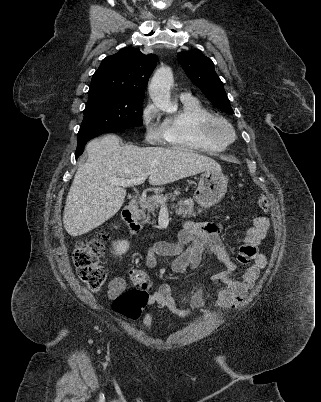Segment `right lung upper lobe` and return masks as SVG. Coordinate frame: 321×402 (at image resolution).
Here are the masks:
<instances>
[{"instance_id":"1","label":"right lung upper lobe","mask_w":321,"mask_h":402,"mask_svg":"<svg viewBox=\"0 0 321 402\" xmlns=\"http://www.w3.org/2000/svg\"><path fill=\"white\" fill-rule=\"evenodd\" d=\"M156 63L157 57L154 54L146 55L136 48H124L102 60L92 77L89 91L144 99L145 85Z\"/></svg>"}]
</instances>
